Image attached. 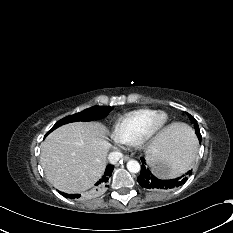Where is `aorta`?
<instances>
[{"instance_id": "obj_1", "label": "aorta", "mask_w": 233, "mask_h": 233, "mask_svg": "<svg viewBox=\"0 0 233 233\" xmlns=\"http://www.w3.org/2000/svg\"><path fill=\"white\" fill-rule=\"evenodd\" d=\"M127 169L131 173H138L140 171V164L136 160H129L127 162Z\"/></svg>"}]
</instances>
